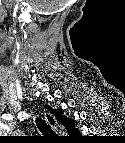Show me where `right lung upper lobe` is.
I'll return each mask as SVG.
<instances>
[{"mask_svg": "<svg viewBox=\"0 0 125 143\" xmlns=\"http://www.w3.org/2000/svg\"><path fill=\"white\" fill-rule=\"evenodd\" d=\"M48 111H50L57 119H59L62 123V125L66 128L69 135H75L77 134V129L74 127V121L72 119H69L63 115V110H55L51 109L49 105H45L44 107Z\"/></svg>", "mask_w": 125, "mask_h": 143, "instance_id": "1", "label": "right lung upper lobe"}]
</instances>
